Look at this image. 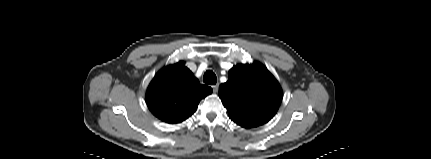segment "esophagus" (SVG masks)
Instances as JSON below:
<instances>
[{"label": "esophagus", "instance_id": "1", "mask_svg": "<svg viewBox=\"0 0 431 159\" xmlns=\"http://www.w3.org/2000/svg\"><path fill=\"white\" fill-rule=\"evenodd\" d=\"M212 89H213V92H214V93H217V92H218V89H219V84H215V85H213V86H212Z\"/></svg>", "mask_w": 431, "mask_h": 159}]
</instances>
